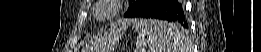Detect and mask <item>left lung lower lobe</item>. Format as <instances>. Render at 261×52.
Here are the masks:
<instances>
[{
    "label": "left lung lower lobe",
    "instance_id": "obj_1",
    "mask_svg": "<svg viewBox=\"0 0 261 52\" xmlns=\"http://www.w3.org/2000/svg\"><path fill=\"white\" fill-rule=\"evenodd\" d=\"M136 17L158 18L173 22L176 27H187L182 6L176 0H154L144 9H142ZM172 33L166 36L170 38Z\"/></svg>",
    "mask_w": 261,
    "mask_h": 52
}]
</instances>
